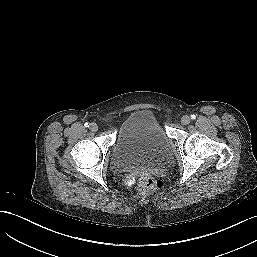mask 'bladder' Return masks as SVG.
<instances>
[{
	"label": "bladder",
	"instance_id": "31cf9c89",
	"mask_svg": "<svg viewBox=\"0 0 257 257\" xmlns=\"http://www.w3.org/2000/svg\"><path fill=\"white\" fill-rule=\"evenodd\" d=\"M118 144H124L129 154L134 155L130 157L131 166L158 167L171 156L168 137L154 113L147 109L134 114Z\"/></svg>",
	"mask_w": 257,
	"mask_h": 257
}]
</instances>
